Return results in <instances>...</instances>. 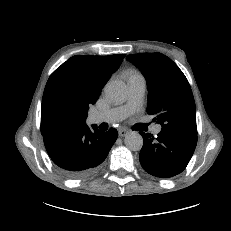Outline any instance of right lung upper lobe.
I'll return each instance as SVG.
<instances>
[{"label":"right lung upper lobe","mask_w":231,"mask_h":231,"mask_svg":"<svg viewBox=\"0 0 231 231\" xmlns=\"http://www.w3.org/2000/svg\"><path fill=\"white\" fill-rule=\"evenodd\" d=\"M124 57L125 55H76L64 62L52 74L67 75L80 94L96 102L101 89Z\"/></svg>","instance_id":"cb5924a9"}]
</instances>
